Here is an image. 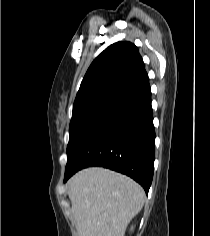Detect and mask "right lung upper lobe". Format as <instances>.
I'll return each mask as SVG.
<instances>
[{
    "instance_id": "cb5924a9",
    "label": "right lung upper lobe",
    "mask_w": 210,
    "mask_h": 236,
    "mask_svg": "<svg viewBox=\"0 0 210 236\" xmlns=\"http://www.w3.org/2000/svg\"><path fill=\"white\" fill-rule=\"evenodd\" d=\"M148 80L138 48L126 41L107 47L87 70L74 106L117 88L132 91Z\"/></svg>"
}]
</instances>
